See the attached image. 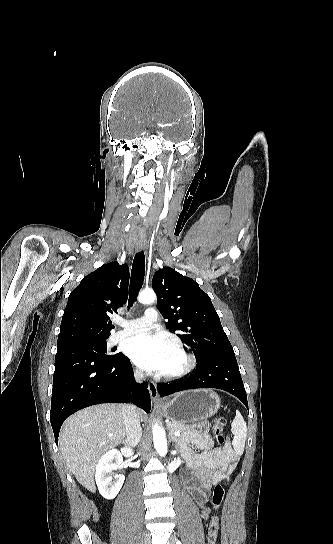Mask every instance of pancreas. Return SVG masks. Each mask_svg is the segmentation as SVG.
<instances>
[{
  "label": "pancreas",
  "mask_w": 333,
  "mask_h": 544,
  "mask_svg": "<svg viewBox=\"0 0 333 544\" xmlns=\"http://www.w3.org/2000/svg\"><path fill=\"white\" fill-rule=\"evenodd\" d=\"M167 428H168L170 434L173 435L174 439H177V437L174 436V432H176V431H179L182 434L195 432V430L192 429L191 427L186 426L185 424H182V423L177 422V421H169L167 423Z\"/></svg>",
  "instance_id": "obj_1"
}]
</instances>
